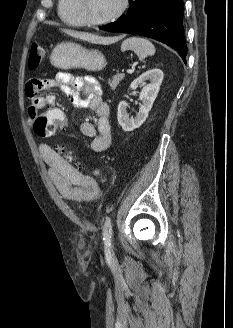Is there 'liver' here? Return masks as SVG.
<instances>
[{"mask_svg": "<svg viewBox=\"0 0 233 328\" xmlns=\"http://www.w3.org/2000/svg\"><path fill=\"white\" fill-rule=\"evenodd\" d=\"M62 31L71 37L81 39L84 41H89L91 43H103L104 42V38L99 37L94 34H91V33L79 32V31H74V30H70V29H62Z\"/></svg>", "mask_w": 233, "mask_h": 328, "instance_id": "1", "label": "liver"}]
</instances>
